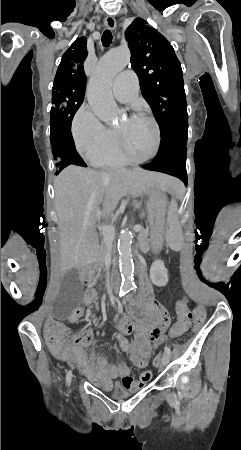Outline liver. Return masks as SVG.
Here are the masks:
<instances>
[{
  "label": "liver",
  "instance_id": "1",
  "mask_svg": "<svg viewBox=\"0 0 241 450\" xmlns=\"http://www.w3.org/2000/svg\"><path fill=\"white\" fill-rule=\"evenodd\" d=\"M178 182L171 176L133 170L96 172L91 168L68 166L55 178V210L60 232L62 272L93 264L98 252L95 224L115 210L124 196L138 198L153 188L166 192Z\"/></svg>",
  "mask_w": 241,
  "mask_h": 450
}]
</instances>
